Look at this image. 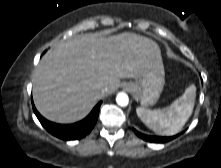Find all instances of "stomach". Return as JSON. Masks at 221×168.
<instances>
[{
  "mask_svg": "<svg viewBox=\"0 0 221 168\" xmlns=\"http://www.w3.org/2000/svg\"><path fill=\"white\" fill-rule=\"evenodd\" d=\"M165 84L163 67H154L134 82H127L124 87L141 105L146 107L157 102Z\"/></svg>",
  "mask_w": 221,
  "mask_h": 168,
  "instance_id": "1",
  "label": "stomach"
}]
</instances>
